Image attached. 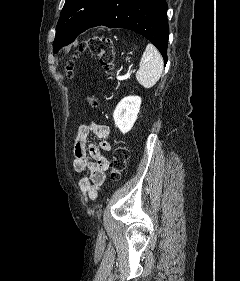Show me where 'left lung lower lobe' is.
Returning <instances> with one entry per match:
<instances>
[{
    "label": "left lung lower lobe",
    "instance_id": "0a47b994",
    "mask_svg": "<svg viewBox=\"0 0 240 281\" xmlns=\"http://www.w3.org/2000/svg\"><path fill=\"white\" fill-rule=\"evenodd\" d=\"M167 9L165 0H103L80 33L100 25L135 31L158 48L166 63Z\"/></svg>",
    "mask_w": 240,
    "mask_h": 281
}]
</instances>
